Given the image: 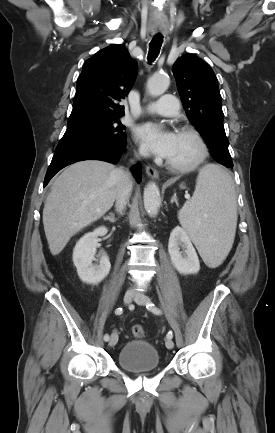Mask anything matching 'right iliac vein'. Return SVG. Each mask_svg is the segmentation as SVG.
I'll list each match as a JSON object with an SVG mask.
<instances>
[{
  "mask_svg": "<svg viewBox=\"0 0 275 433\" xmlns=\"http://www.w3.org/2000/svg\"><path fill=\"white\" fill-rule=\"evenodd\" d=\"M134 295L135 294L133 292H131V291L126 292L125 295H124V303L127 304V305L130 304L131 301H132V299H133V297H134ZM117 342H118V334H117L116 331H114L111 334V337H110V340H109V346L113 347V346H115L117 344Z\"/></svg>",
  "mask_w": 275,
  "mask_h": 433,
  "instance_id": "right-iliac-vein-1",
  "label": "right iliac vein"
}]
</instances>
